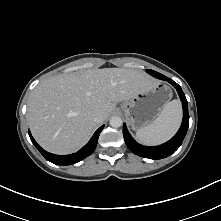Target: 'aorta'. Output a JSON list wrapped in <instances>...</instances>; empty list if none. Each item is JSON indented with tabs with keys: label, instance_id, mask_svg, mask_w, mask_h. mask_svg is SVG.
<instances>
[{
	"label": "aorta",
	"instance_id": "aorta-1",
	"mask_svg": "<svg viewBox=\"0 0 221 221\" xmlns=\"http://www.w3.org/2000/svg\"><path fill=\"white\" fill-rule=\"evenodd\" d=\"M109 123L112 127L118 128L122 126V119L119 116H113L111 117Z\"/></svg>",
	"mask_w": 221,
	"mask_h": 221
}]
</instances>
